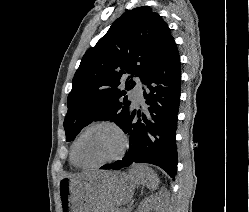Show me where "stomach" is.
Wrapping results in <instances>:
<instances>
[{"mask_svg":"<svg viewBox=\"0 0 249 212\" xmlns=\"http://www.w3.org/2000/svg\"><path fill=\"white\" fill-rule=\"evenodd\" d=\"M127 170H85V175H70L58 184L62 212H107L115 205L127 204L135 184H129Z\"/></svg>","mask_w":249,"mask_h":212,"instance_id":"obj_1","label":"stomach"}]
</instances>
